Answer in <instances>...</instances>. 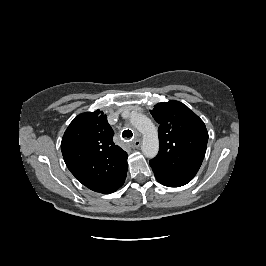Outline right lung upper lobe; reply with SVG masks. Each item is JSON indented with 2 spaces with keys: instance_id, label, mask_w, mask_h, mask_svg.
Returning <instances> with one entry per match:
<instances>
[{
  "instance_id": "cb5924a9",
  "label": "right lung upper lobe",
  "mask_w": 266,
  "mask_h": 266,
  "mask_svg": "<svg viewBox=\"0 0 266 266\" xmlns=\"http://www.w3.org/2000/svg\"><path fill=\"white\" fill-rule=\"evenodd\" d=\"M107 116L96 110L76 116L65 131L61 151L64 161L87 188L112 193L127 175L128 154L113 142Z\"/></svg>"
}]
</instances>
